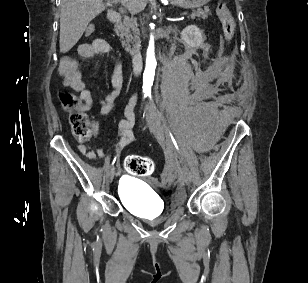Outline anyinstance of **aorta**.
<instances>
[{
	"label": "aorta",
	"instance_id": "obj_1",
	"mask_svg": "<svg viewBox=\"0 0 308 283\" xmlns=\"http://www.w3.org/2000/svg\"><path fill=\"white\" fill-rule=\"evenodd\" d=\"M156 65L157 62L154 53V38L153 36H151L149 47L147 50L146 67L143 74V86L145 88H151V86L153 85Z\"/></svg>",
	"mask_w": 308,
	"mask_h": 283
}]
</instances>
